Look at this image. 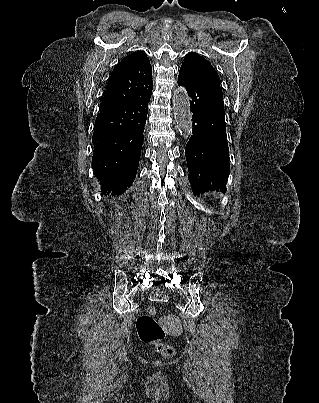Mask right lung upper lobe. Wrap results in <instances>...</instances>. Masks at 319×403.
<instances>
[{"instance_id": "obj_1", "label": "right lung upper lobe", "mask_w": 319, "mask_h": 403, "mask_svg": "<svg viewBox=\"0 0 319 403\" xmlns=\"http://www.w3.org/2000/svg\"><path fill=\"white\" fill-rule=\"evenodd\" d=\"M153 89L152 67L146 54L133 52L113 69L99 110H108L142 99Z\"/></svg>"}]
</instances>
